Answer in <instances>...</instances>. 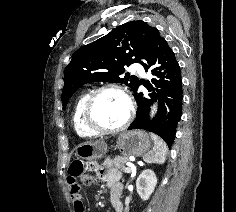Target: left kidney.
<instances>
[{
  "mask_svg": "<svg viewBox=\"0 0 236 212\" xmlns=\"http://www.w3.org/2000/svg\"><path fill=\"white\" fill-rule=\"evenodd\" d=\"M157 184L155 173L151 169L144 170L136 180L137 193L143 200H148Z\"/></svg>",
  "mask_w": 236,
  "mask_h": 212,
  "instance_id": "obj_1",
  "label": "left kidney"
}]
</instances>
